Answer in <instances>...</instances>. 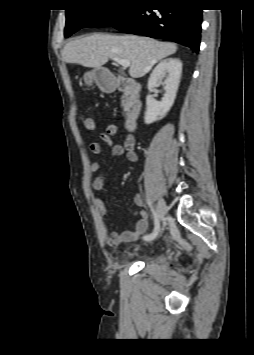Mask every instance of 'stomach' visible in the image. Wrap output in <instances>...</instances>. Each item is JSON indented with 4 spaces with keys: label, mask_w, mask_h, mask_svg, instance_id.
Returning a JSON list of instances; mask_svg holds the SVG:
<instances>
[{
    "label": "stomach",
    "mask_w": 254,
    "mask_h": 355,
    "mask_svg": "<svg viewBox=\"0 0 254 355\" xmlns=\"http://www.w3.org/2000/svg\"><path fill=\"white\" fill-rule=\"evenodd\" d=\"M84 82L87 85H92L95 83L103 90H109L114 87V82L110 75L108 74L107 70L100 68L94 69L92 71L86 72L84 74Z\"/></svg>",
    "instance_id": "stomach-1"
}]
</instances>
